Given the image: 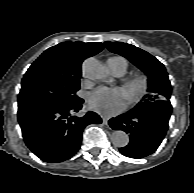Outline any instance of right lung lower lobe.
<instances>
[{
	"instance_id": "1",
	"label": "right lung lower lobe",
	"mask_w": 194,
	"mask_h": 193,
	"mask_svg": "<svg viewBox=\"0 0 194 193\" xmlns=\"http://www.w3.org/2000/svg\"><path fill=\"white\" fill-rule=\"evenodd\" d=\"M83 100L72 106L36 105L18 108V121L27 147L41 160L62 162L80 148L83 129L89 124H100L94 112L83 117L75 114Z\"/></svg>"
}]
</instances>
